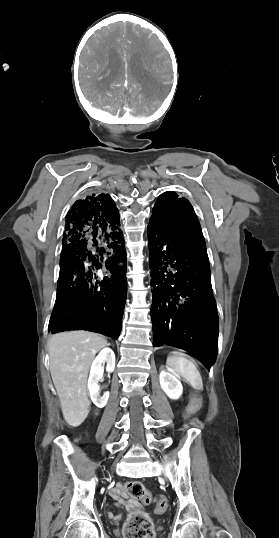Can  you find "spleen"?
<instances>
[{
  "label": "spleen",
  "instance_id": "spleen-1",
  "mask_svg": "<svg viewBox=\"0 0 279 538\" xmlns=\"http://www.w3.org/2000/svg\"><path fill=\"white\" fill-rule=\"evenodd\" d=\"M166 364L175 374L186 378L187 383L195 389V393L201 394L203 392L201 388L203 386V380L196 366H194L191 360H188L186 354H182V352H171L166 360Z\"/></svg>",
  "mask_w": 279,
  "mask_h": 538
}]
</instances>
